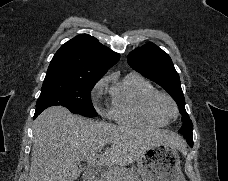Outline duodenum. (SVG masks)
Instances as JSON below:
<instances>
[{
    "label": "duodenum",
    "mask_w": 228,
    "mask_h": 181,
    "mask_svg": "<svg viewBox=\"0 0 228 181\" xmlns=\"http://www.w3.org/2000/svg\"><path fill=\"white\" fill-rule=\"evenodd\" d=\"M81 179H85V181H96V178H92V174L86 173V174H81Z\"/></svg>",
    "instance_id": "duodenum-1"
}]
</instances>
